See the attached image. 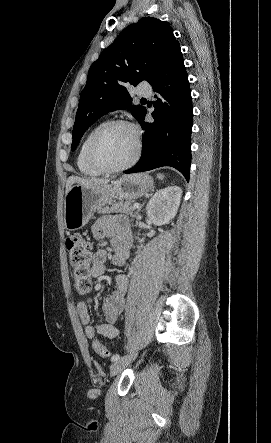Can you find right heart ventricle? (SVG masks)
I'll return each mask as SVG.
<instances>
[{
    "mask_svg": "<svg viewBox=\"0 0 271 443\" xmlns=\"http://www.w3.org/2000/svg\"><path fill=\"white\" fill-rule=\"evenodd\" d=\"M105 123V121L99 122L96 125H94L84 136V138L82 139L79 148L77 150L76 153V166L78 168V170L86 175V176H90V177H97L99 175H101V172L97 169H95L93 166L90 165V163L87 160L86 157V150L88 147V144L90 142V140L92 139V137L94 136V134L97 132V130Z\"/></svg>",
    "mask_w": 271,
    "mask_h": 443,
    "instance_id": "e07e8e85",
    "label": "right heart ventricle"
}]
</instances>
